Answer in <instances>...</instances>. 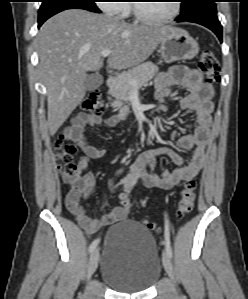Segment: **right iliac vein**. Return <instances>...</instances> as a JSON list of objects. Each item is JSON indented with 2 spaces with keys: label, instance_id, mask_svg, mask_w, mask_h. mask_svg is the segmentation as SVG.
Returning a JSON list of instances; mask_svg holds the SVG:
<instances>
[{
  "label": "right iliac vein",
  "instance_id": "obj_1",
  "mask_svg": "<svg viewBox=\"0 0 248 299\" xmlns=\"http://www.w3.org/2000/svg\"><path fill=\"white\" fill-rule=\"evenodd\" d=\"M99 261V250L94 249L90 255L87 276L90 278L97 269Z\"/></svg>",
  "mask_w": 248,
  "mask_h": 299
}]
</instances>
